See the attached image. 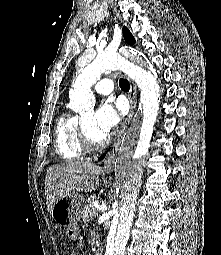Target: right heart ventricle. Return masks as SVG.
Returning a JSON list of instances; mask_svg holds the SVG:
<instances>
[{
	"label": "right heart ventricle",
	"mask_w": 221,
	"mask_h": 255,
	"mask_svg": "<svg viewBox=\"0 0 221 255\" xmlns=\"http://www.w3.org/2000/svg\"><path fill=\"white\" fill-rule=\"evenodd\" d=\"M79 118L70 112H63L56 123L54 145L59 157L65 161H76L86 153L79 133Z\"/></svg>",
	"instance_id": "1"
}]
</instances>
